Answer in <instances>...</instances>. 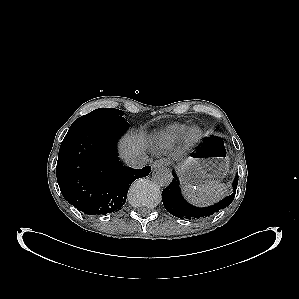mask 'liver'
<instances>
[{"label": "liver", "instance_id": "6515ba94", "mask_svg": "<svg viewBox=\"0 0 299 299\" xmlns=\"http://www.w3.org/2000/svg\"><path fill=\"white\" fill-rule=\"evenodd\" d=\"M145 140L143 135H127L120 143V154L124 159L138 156L144 150Z\"/></svg>", "mask_w": 299, "mask_h": 299}]
</instances>
